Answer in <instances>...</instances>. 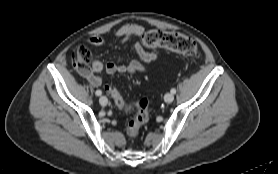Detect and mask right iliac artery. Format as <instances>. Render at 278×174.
I'll list each match as a JSON object with an SVG mask.
<instances>
[{
	"label": "right iliac artery",
	"instance_id": "82829eb1",
	"mask_svg": "<svg viewBox=\"0 0 278 174\" xmlns=\"http://www.w3.org/2000/svg\"><path fill=\"white\" fill-rule=\"evenodd\" d=\"M97 96H101L102 95V91L101 90H97L95 93Z\"/></svg>",
	"mask_w": 278,
	"mask_h": 174
}]
</instances>
